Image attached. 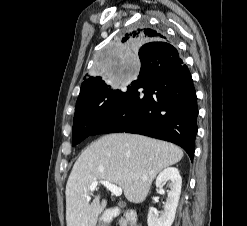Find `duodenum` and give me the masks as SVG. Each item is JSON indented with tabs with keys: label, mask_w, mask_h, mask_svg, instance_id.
Wrapping results in <instances>:
<instances>
[{
	"label": "duodenum",
	"mask_w": 247,
	"mask_h": 226,
	"mask_svg": "<svg viewBox=\"0 0 247 226\" xmlns=\"http://www.w3.org/2000/svg\"><path fill=\"white\" fill-rule=\"evenodd\" d=\"M103 218L105 224L102 226H106L116 218L120 220L121 226H137V215L132 209L110 208L105 211Z\"/></svg>",
	"instance_id": "obj_1"
}]
</instances>
